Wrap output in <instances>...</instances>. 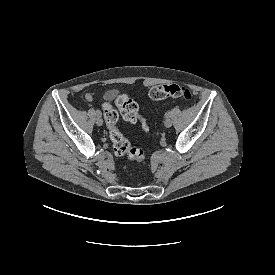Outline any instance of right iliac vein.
I'll list each match as a JSON object with an SVG mask.
<instances>
[{
    "label": "right iliac vein",
    "mask_w": 275,
    "mask_h": 275,
    "mask_svg": "<svg viewBox=\"0 0 275 275\" xmlns=\"http://www.w3.org/2000/svg\"><path fill=\"white\" fill-rule=\"evenodd\" d=\"M96 124L98 126H101L103 124V119H102L101 115H97V117H96Z\"/></svg>",
    "instance_id": "1"
}]
</instances>
